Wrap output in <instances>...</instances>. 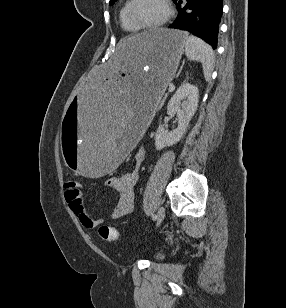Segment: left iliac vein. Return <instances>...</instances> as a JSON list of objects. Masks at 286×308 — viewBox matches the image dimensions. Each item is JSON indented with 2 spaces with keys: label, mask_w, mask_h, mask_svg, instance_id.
Returning <instances> with one entry per match:
<instances>
[{
  "label": "left iliac vein",
  "mask_w": 286,
  "mask_h": 308,
  "mask_svg": "<svg viewBox=\"0 0 286 308\" xmlns=\"http://www.w3.org/2000/svg\"><path fill=\"white\" fill-rule=\"evenodd\" d=\"M165 217V209L164 207H159L157 211V225H160V223L163 221Z\"/></svg>",
  "instance_id": "left-iliac-vein-1"
}]
</instances>
